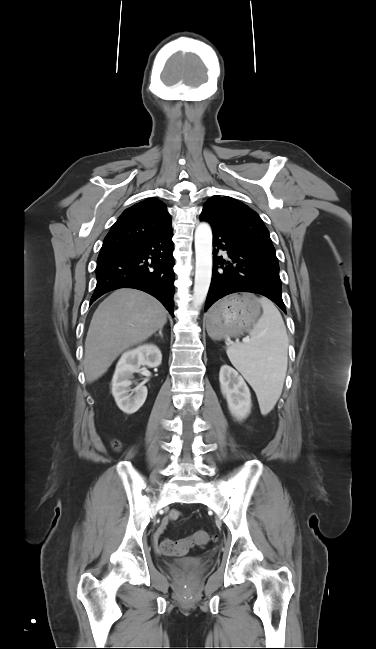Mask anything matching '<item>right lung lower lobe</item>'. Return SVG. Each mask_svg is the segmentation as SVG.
Masks as SVG:
<instances>
[{"label":"right lung lower lobe","mask_w":376,"mask_h":649,"mask_svg":"<svg viewBox=\"0 0 376 649\" xmlns=\"http://www.w3.org/2000/svg\"><path fill=\"white\" fill-rule=\"evenodd\" d=\"M172 230L131 244L100 251L97 285L90 304L118 288H135L156 297L174 316Z\"/></svg>","instance_id":"obj_1"}]
</instances>
